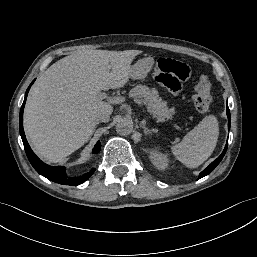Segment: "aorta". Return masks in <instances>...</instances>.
I'll list each match as a JSON object with an SVG mask.
<instances>
[{"instance_id":"762f6f07","label":"aorta","mask_w":257,"mask_h":257,"mask_svg":"<svg viewBox=\"0 0 257 257\" xmlns=\"http://www.w3.org/2000/svg\"><path fill=\"white\" fill-rule=\"evenodd\" d=\"M133 130V122L128 118H123L116 124V131L120 135H129Z\"/></svg>"}]
</instances>
